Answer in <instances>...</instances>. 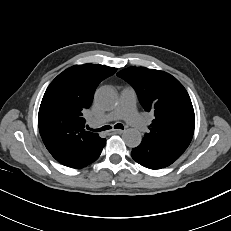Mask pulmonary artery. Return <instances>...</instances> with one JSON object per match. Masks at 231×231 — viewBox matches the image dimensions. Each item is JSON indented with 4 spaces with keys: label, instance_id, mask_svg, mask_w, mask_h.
Here are the masks:
<instances>
[{
    "label": "pulmonary artery",
    "instance_id": "pulmonary-artery-1",
    "mask_svg": "<svg viewBox=\"0 0 231 231\" xmlns=\"http://www.w3.org/2000/svg\"><path fill=\"white\" fill-rule=\"evenodd\" d=\"M136 92L133 88L126 87L120 93V99L117 107L110 113L101 118L91 119L90 122L95 124H103L118 119H124L136 131H144L146 123L136 111Z\"/></svg>",
    "mask_w": 231,
    "mask_h": 231
}]
</instances>
